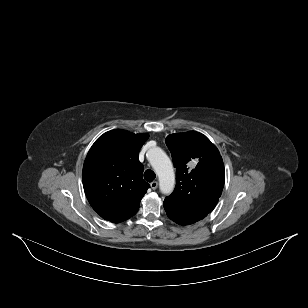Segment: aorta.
I'll use <instances>...</instances> for the list:
<instances>
[{
    "label": "aorta",
    "instance_id": "obj_1",
    "mask_svg": "<svg viewBox=\"0 0 308 308\" xmlns=\"http://www.w3.org/2000/svg\"><path fill=\"white\" fill-rule=\"evenodd\" d=\"M148 159L158 175L160 191L163 194H170L175 185V174L171 160L160 148L151 149L148 152Z\"/></svg>",
    "mask_w": 308,
    "mask_h": 308
}]
</instances>
